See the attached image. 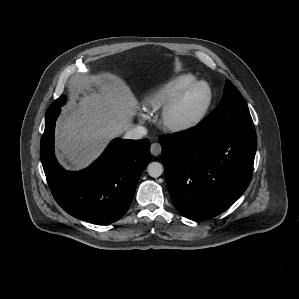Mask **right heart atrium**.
<instances>
[{
    "mask_svg": "<svg viewBox=\"0 0 299 299\" xmlns=\"http://www.w3.org/2000/svg\"><path fill=\"white\" fill-rule=\"evenodd\" d=\"M142 118H143V119H146V118H147V115L142 114Z\"/></svg>",
    "mask_w": 299,
    "mask_h": 299,
    "instance_id": "obj_1",
    "label": "right heart atrium"
}]
</instances>
